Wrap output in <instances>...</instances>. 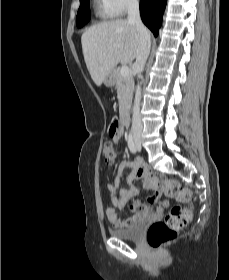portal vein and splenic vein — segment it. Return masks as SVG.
<instances>
[{
    "mask_svg": "<svg viewBox=\"0 0 229 280\" xmlns=\"http://www.w3.org/2000/svg\"><path fill=\"white\" fill-rule=\"evenodd\" d=\"M120 73L122 76H128L130 73L129 67L127 65H123L120 69Z\"/></svg>",
    "mask_w": 229,
    "mask_h": 280,
    "instance_id": "portal-vein-and-splenic-vein-1",
    "label": "portal vein and splenic vein"
}]
</instances>
